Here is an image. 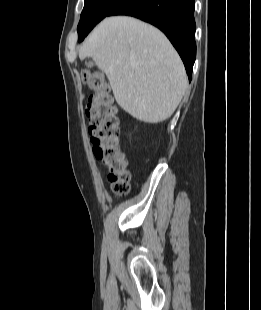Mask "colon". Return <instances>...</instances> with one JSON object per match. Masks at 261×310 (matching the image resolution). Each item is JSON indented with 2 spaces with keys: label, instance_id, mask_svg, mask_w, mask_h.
Masks as SVG:
<instances>
[{
  "label": "colon",
  "instance_id": "obj_1",
  "mask_svg": "<svg viewBox=\"0 0 261 310\" xmlns=\"http://www.w3.org/2000/svg\"><path fill=\"white\" fill-rule=\"evenodd\" d=\"M81 77L94 91L86 105L94 155L104 165L114 194L126 195L130 190L131 171L120 148V120L110 87L99 71L86 69Z\"/></svg>",
  "mask_w": 261,
  "mask_h": 310
}]
</instances>
